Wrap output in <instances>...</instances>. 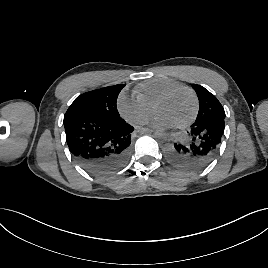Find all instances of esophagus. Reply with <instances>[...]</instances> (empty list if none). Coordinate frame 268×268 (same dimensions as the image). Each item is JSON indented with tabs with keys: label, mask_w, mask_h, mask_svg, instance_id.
Segmentation results:
<instances>
[{
	"label": "esophagus",
	"mask_w": 268,
	"mask_h": 268,
	"mask_svg": "<svg viewBox=\"0 0 268 268\" xmlns=\"http://www.w3.org/2000/svg\"><path fill=\"white\" fill-rule=\"evenodd\" d=\"M136 132L138 134H144V133H152L154 131L152 129H148V128H137Z\"/></svg>",
	"instance_id": "34e87169"
}]
</instances>
